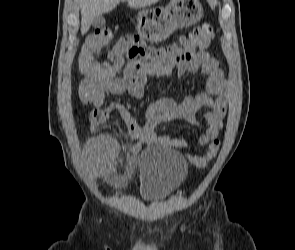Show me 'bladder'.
Wrapping results in <instances>:
<instances>
[{"label":"bladder","instance_id":"31cf9c89","mask_svg":"<svg viewBox=\"0 0 295 250\" xmlns=\"http://www.w3.org/2000/svg\"><path fill=\"white\" fill-rule=\"evenodd\" d=\"M141 174L140 194L147 202L166 199L187 176V161L184 156L168 147L143 150L137 158Z\"/></svg>","mask_w":295,"mask_h":250}]
</instances>
